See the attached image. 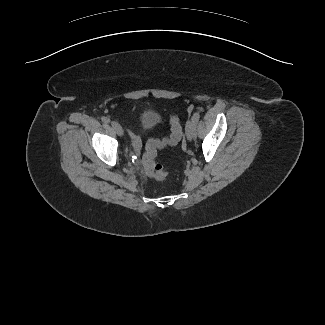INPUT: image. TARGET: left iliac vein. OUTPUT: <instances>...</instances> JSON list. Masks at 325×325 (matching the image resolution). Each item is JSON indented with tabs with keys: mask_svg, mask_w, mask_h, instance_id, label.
Here are the masks:
<instances>
[{
	"mask_svg": "<svg viewBox=\"0 0 325 325\" xmlns=\"http://www.w3.org/2000/svg\"><path fill=\"white\" fill-rule=\"evenodd\" d=\"M185 133H186V137L189 141H191L194 138V131H193V123L192 120L188 121L186 123V127H185Z\"/></svg>",
	"mask_w": 325,
	"mask_h": 325,
	"instance_id": "left-iliac-vein-1",
	"label": "left iliac vein"
}]
</instances>
